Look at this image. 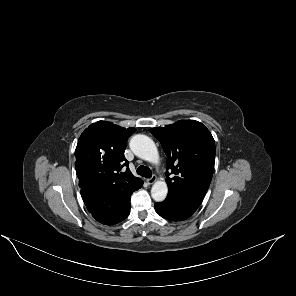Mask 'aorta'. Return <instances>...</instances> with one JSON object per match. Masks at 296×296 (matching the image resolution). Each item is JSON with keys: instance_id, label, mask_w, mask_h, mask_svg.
I'll return each instance as SVG.
<instances>
[{"instance_id": "1", "label": "aorta", "mask_w": 296, "mask_h": 296, "mask_svg": "<svg viewBox=\"0 0 296 296\" xmlns=\"http://www.w3.org/2000/svg\"><path fill=\"white\" fill-rule=\"evenodd\" d=\"M130 148L133 153L139 158L151 162L153 164L159 163V153L154 141L146 135L137 134L130 140ZM168 193L166 182L157 181L153 184L151 189V196L156 202L163 201Z\"/></svg>"}]
</instances>
